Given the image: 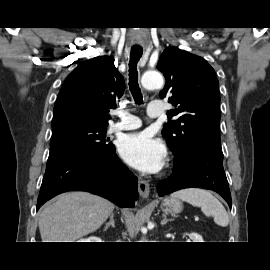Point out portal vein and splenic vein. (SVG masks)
Listing matches in <instances>:
<instances>
[{
  "label": "portal vein and splenic vein",
  "instance_id": "18ae733b",
  "mask_svg": "<svg viewBox=\"0 0 270 270\" xmlns=\"http://www.w3.org/2000/svg\"><path fill=\"white\" fill-rule=\"evenodd\" d=\"M198 219H199L198 217H195V221H198Z\"/></svg>",
  "mask_w": 270,
  "mask_h": 270
}]
</instances>
